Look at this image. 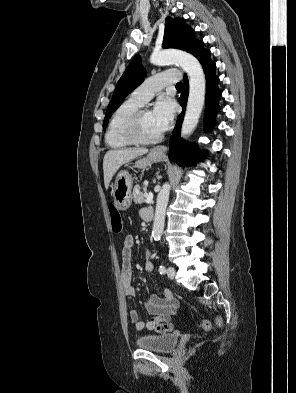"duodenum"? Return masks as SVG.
Instances as JSON below:
<instances>
[{
    "label": "duodenum",
    "instance_id": "obj_1",
    "mask_svg": "<svg viewBox=\"0 0 296 393\" xmlns=\"http://www.w3.org/2000/svg\"><path fill=\"white\" fill-rule=\"evenodd\" d=\"M153 217H154V209L148 208L145 213V220L151 221L153 219Z\"/></svg>",
    "mask_w": 296,
    "mask_h": 393
}]
</instances>
